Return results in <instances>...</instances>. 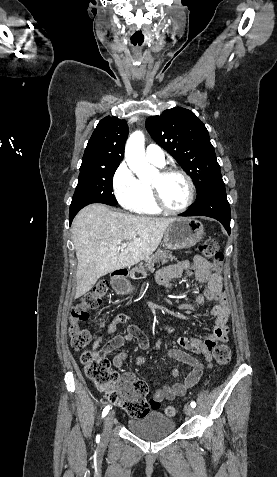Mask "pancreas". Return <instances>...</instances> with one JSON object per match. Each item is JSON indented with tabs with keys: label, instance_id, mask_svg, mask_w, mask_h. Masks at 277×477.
Segmentation results:
<instances>
[{
	"label": "pancreas",
	"instance_id": "pancreas-1",
	"mask_svg": "<svg viewBox=\"0 0 277 477\" xmlns=\"http://www.w3.org/2000/svg\"><path fill=\"white\" fill-rule=\"evenodd\" d=\"M175 257L172 255V252L167 250H157V252L145 259V265H140L134 269L135 272L146 275L147 270L154 271L155 263L165 264L169 260H173Z\"/></svg>",
	"mask_w": 277,
	"mask_h": 477
}]
</instances>
